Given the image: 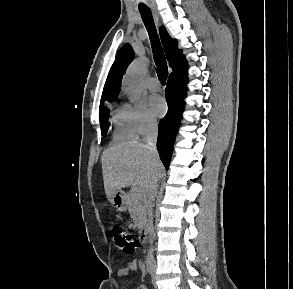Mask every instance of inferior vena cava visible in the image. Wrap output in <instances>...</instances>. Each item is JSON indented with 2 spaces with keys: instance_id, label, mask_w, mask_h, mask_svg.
Instances as JSON below:
<instances>
[{
  "instance_id": "obj_1",
  "label": "inferior vena cava",
  "mask_w": 293,
  "mask_h": 289,
  "mask_svg": "<svg viewBox=\"0 0 293 289\" xmlns=\"http://www.w3.org/2000/svg\"><path fill=\"white\" fill-rule=\"evenodd\" d=\"M157 135H158V127H157V123L156 121H151L148 123L147 127H146V131L144 134V138L143 141L146 143V148L153 154L154 157V162L155 163H159V155H158V151L156 148V142H157ZM161 176H157L154 184L149 192V200L152 201L156 194H157V190H158V181L160 179ZM149 214V226H148V231L150 233V242L152 243V240L155 236L154 233V227H153V212L152 209H150L148 211ZM152 250V249H151Z\"/></svg>"
}]
</instances>
